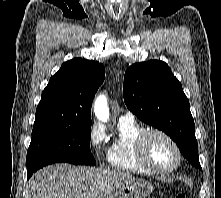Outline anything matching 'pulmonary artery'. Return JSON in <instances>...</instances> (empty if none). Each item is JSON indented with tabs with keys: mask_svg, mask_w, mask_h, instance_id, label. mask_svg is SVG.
Masks as SVG:
<instances>
[{
	"mask_svg": "<svg viewBox=\"0 0 221 198\" xmlns=\"http://www.w3.org/2000/svg\"><path fill=\"white\" fill-rule=\"evenodd\" d=\"M134 116L132 113L130 112H126L120 115L119 117V121H123V120H133Z\"/></svg>",
	"mask_w": 221,
	"mask_h": 198,
	"instance_id": "pulmonary-artery-1",
	"label": "pulmonary artery"
}]
</instances>
